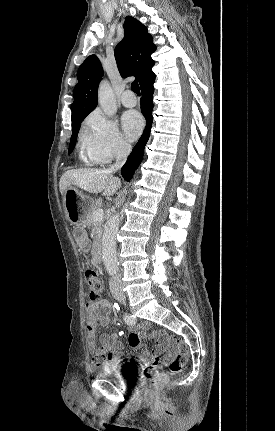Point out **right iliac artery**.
<instances>
[{
	"label": "right iliac artery",
	"instance_id": "obj_1",
	"mask_svg": "<svg viewBox=\"0 0 275 431\" xmlns=\"http://www.w3.org/2000/svg\"><path fill=\"white\" fill-rule=\"evenodd\" d=\"M123 319H124L125 323L127 325H130V326H133L136 323L135 316H133V315L125 314Z\"/></svg>",
	"mask_w": 275,
	"mask_h": 431
}]
</instances>
